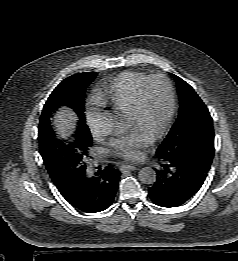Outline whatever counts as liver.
<instances>
[{
	"label": "liver",
	"mask_w": 238,
	"mask_h": 261,
	"mask_svg": "<svg viewBox=\"0 0 238 261\" xmlns=\"http://www.w3.org/2000/svg\"><path fill=\"white\" fill-rule=\"evenodd\" d=\"M73 119L72 115L61 113L56 116V126L60 134H66L72 128L71 120Z\"/></svg>",
	"instance_id": "6515ba94"
}]
</instances>
